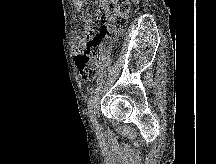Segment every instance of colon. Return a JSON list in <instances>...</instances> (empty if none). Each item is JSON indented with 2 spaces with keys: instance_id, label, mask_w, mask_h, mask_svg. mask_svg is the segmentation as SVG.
<instances>
[{
  "instance_id": "colon-1",
  "label": "colon",
  "mask_w": 216,
  "mask_h": 164,
  "mask_svg": "<svg viewBox=\"0 0 216 164\" xmlns=\"http://www.w3.org/2000/svg\"><path fill=\"white\" fill-rule=\"evenodd\" d=\"M130 8V0H103L96 14L85 19L82 32L73 41L75 62L84 80L96 76L103 53L101 38L111 29L121 32L126 27Z\"/></svg>"
}]
</instances>
